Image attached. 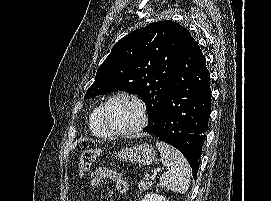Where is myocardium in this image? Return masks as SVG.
I'll return each mask as SVG.
<instances>
[{
    "instance_id": "myocardium-1",
    "label": "myocardium",
    "mask_w": 271,
    "mask_h": 201,
    "mask_svg": "<svg viewBox=\"0 0 271 201\" xmlns=\"http://www.w3.org/2000/svg\"><path fill=\"white\" fill-rule=\"evenodd\" d=\"M118 98H127V99H130L139 108V111H140V121L132 129H129V130H118V129H116V128H114L112 126V124L110 123V121L108 119V114H107L108 106L110 105V103L112 101H114V100H116ZM101 119H102V122H103L105 128L112 135L129 137V136H133L135 134H138L139 132H141L142 130L145 129V127L148 124V110H147L146 104L143 101V99L141 97H139L137 94L132 93V92H128V91H121V92H117V93L111 95L104 102V104L102 105V108H101Z\"/></svg>"
}]
</instances>
